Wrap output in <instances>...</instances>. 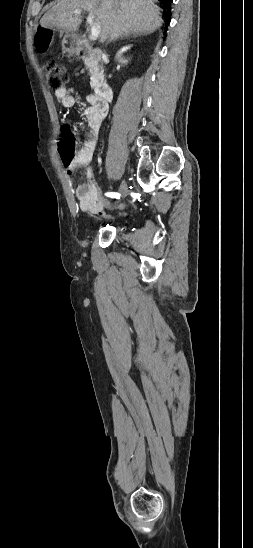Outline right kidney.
Wrapping results in <instances>:
<instances>
[{"instance_id": "right-kidney-1", "label": "right kidney", "mask_w": 253, "mask_h": 548, "mask_svg": "<svg viewBox=\"0 0 253 548\" xmlns=\"http://www.w3.org/2000/svg\"><path fill=\"white\" fill-rule=\"evenodd\" d=\"M130 48V46H125L123 47L116 55L117 58H119L121 56V54L125 51H127L128 49ZM121 62L123 63H126V60H121Z\"/></svg>"}]
</instances>
